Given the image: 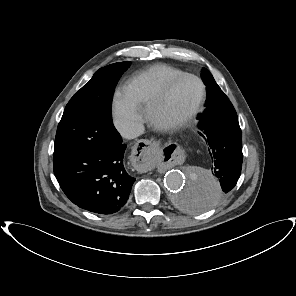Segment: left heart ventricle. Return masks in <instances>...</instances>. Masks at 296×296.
Masks as SVG:
<instances>
[{
	"label": "left heart ventricle",
	"mask_w": 296,
	"mask_h": 296,
	"mask_svg": "<svg viewBox=\"0 0 296 296\" xmlns=\"http://www.w3.org/2000/svg\"><path fill=\"white\" fill-rule=\"evenodd\" d=\"M199 94L200 88L195 80L187 78L180 81L169 95L161 116L168 120L184 116L195 105Z\"/></svg>",
	"instance_id": "1"
}]
</instances>
